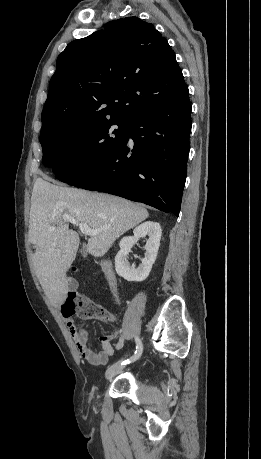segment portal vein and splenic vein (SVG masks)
Wrapping results in <instances>:
<instances>
[{
	"label": "portal vein and splenic vein",
	"instance_id": "18ae733b",
	"mask_svg": "<svg viewBox=\"0 0 261 459\" xmlns=\"http://www.w3.org/2000/svg\"><path fill=\"white\" fill-rule=\"evenodd\" d=\"M63 221L70 222L79 227V230L85 235H94L97 233V230H92L87 224L79 223L76 218L71 215L65 214L62 216Z\"/></svg>",
	"mask_w": 261,
	"mask_h": 459
}]
</instances>
